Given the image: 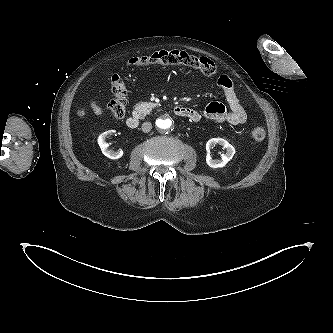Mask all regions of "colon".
<instances>
[{
  "instance_id": "5ec220e1",
  "label": "colon",
  "mask_w": 333,
  "mask_h": 333,
  "mask_svg": "<svg viewBox=\"0 0 333 333\" xmlns=\"http://www.w3.org/2000/svg\"><path fill=\"white\" fill-rule=\"evenodd\" d=\"M128 64L134 67L181 65L198 70L207 76L216 73V66L211 59L197 57L179 50H161L145 56L132 57ZM110 86L113 98L109 102L106 112L111 118L119 119L124 116L126 111L127 87L118 74L111 77ZM265 135V130L261 126H254L250 131V137L254 142L262 141Z\"/></svg>"
}]
</instances>
